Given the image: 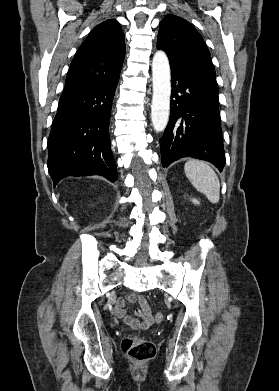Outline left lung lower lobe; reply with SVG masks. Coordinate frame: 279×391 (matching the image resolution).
<instances>
[{"label":"left lung lower lobe","mask_w":279,"mask_h":391,"mask_svg":"<svg viewBox=\"0 0 279 391\" xmlns=\"http://www.w3.org/2000/svg\"><path fill=\"white\" fill-rule=\"evenodd\" d=\"M171 79L170 119L160 140L163 167L182 157H194L222 171L225 152L218 92L174 69Z\"/></svg>","instance_id":"obj_1"}]
</instances>
